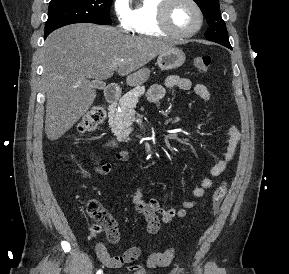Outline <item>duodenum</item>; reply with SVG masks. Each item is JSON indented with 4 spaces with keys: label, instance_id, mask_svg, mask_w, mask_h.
<instances>
[{
    "label": "duodenum",
    "instance_id": "1",
    "mask_svg": "<svg viewBox=\"0 0 289 274\" xmlns=\"http://www.w3.org/2000/svg\"><path fill=\"white\" fill-rule=\"evenodd\" d=\"M121 96L120 87L117 84H109L105 89V98L111 107H114ZM110 146H114V142L109 143Z\"/></svg>",
    "mask_w": 289,
    "mask_h": 274
}]
</instances>
